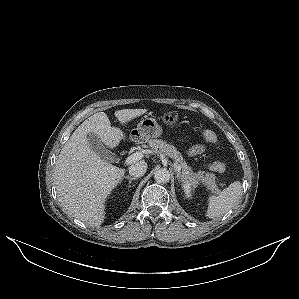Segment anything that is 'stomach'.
Listing matches in <instances>:
<instances>
[{
    "mask_svg": "<svg viewBox=\"0 0 299 299\" xmlns=\"http://www.w3.org/2000/svg\"><path fill=\"white\" fill-rule=\"evenodd\" d=\"M162 120L167 125H175L179 120V115L176 112H168L162 116ZM162 132V127L155 118L144 117L137 128L130 131L129 138L134 142L144 143L149 139L161 136Z\"/></svg>",
    "mask_w": 299,
    "mask_h": 299,
    "instance_id": "obj_1",
    "label": "stomach"
}]
</instances>
